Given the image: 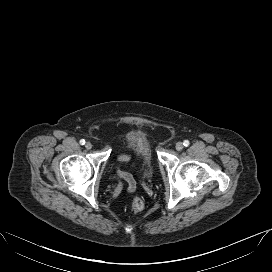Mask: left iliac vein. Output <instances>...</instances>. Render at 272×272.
I'll return each mask as SVG.
<instances>
[{
    "label": "left iliac vein",
    "mask_w": 272,
    "mask_h": 272,
    "mask_svg": "<svg viewBox=\"0 0 272 272\" xmlns=\"http://www.w3.org/2000/svg\"><path fill=\"white\" fill-rule=\"evenodd\" d=\"M176 149L178 151L182 150L183 149V143L182 142H177L176 145H175Z\"/></svg>",
    "instance_id": "4c4485c4"
}]
</instances>
